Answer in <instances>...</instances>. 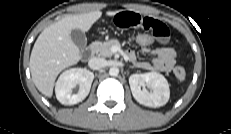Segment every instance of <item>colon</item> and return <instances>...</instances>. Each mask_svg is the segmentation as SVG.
Returning <instances> with one entry per match:
<instances>
[{"instance_id": "colon-1", "label": "colon", "mask_w": 231, "mask_h": 134, "mask_svg": "<svg viewBox=\"0 0 231 134\" xmlns=\"http://www.w3.org/2000/svg\"><path fill=\"white\" fill-rule=\"evenodd\" d=\"M126 37L128 41L142 48L150 47L155 41V38L148 33H127ZM173 71L179 80H183L186 76L185 69L180 65L175 66Z\"/></svg>"}]
</instances>
